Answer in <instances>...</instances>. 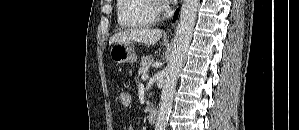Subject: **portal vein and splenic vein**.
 Listing matches in <instances>:
<instances>
[{"instance_id": "obj_1", "label": "portal vein and splenic vein", "mask_w": 299, "mask_h": 130, "mask_svg": "<svg viewBox=\"0 0 299 130\" xmlns=\"http://www.w3.org/2000/svg\"><path fill=\"white\" fill-rule=\"evenodd\" d=\"M141 78H142V80H147L148 79V75L147 74H143Z\"/></svg>"}]
</instances>
